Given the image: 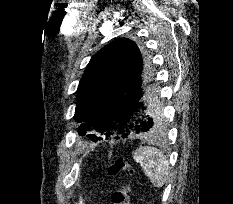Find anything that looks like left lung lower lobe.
<instances>
[{
    "label": "left lung lower lobe",
    "instance_id": "1",
    "mask_svg": "<svg viewBox=\"0 0 233 204\" xmlns=\"http://www.w3.org/2000/svg\"><path fill=\"white\" fill-rule=\"evenodd\" d=\"M152 78V72L144 71L124 95L119 107L121 137L126 138L141 132L152 134L159 131L158 118L155 115L159 99L157 87Z\"/></svg>",
    "mask_w": 233,
    "mask_h": 204
}]
</instances>
